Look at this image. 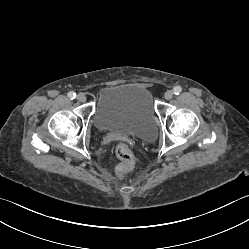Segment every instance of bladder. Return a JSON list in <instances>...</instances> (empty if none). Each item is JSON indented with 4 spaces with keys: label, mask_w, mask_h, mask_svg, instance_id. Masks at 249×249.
<instances>
[{
    "label": "bladder",
    "mask_w": 249,
    "mask_h": 249,
    "mask_svg": "<svg viewBox=\"0 0 249 249\" xmlns=\"http://www.w3.org/2000/svg\"><path fill=\"white\" fill-rule=\"evenodd\" d=\"M93 123L101 131L121 132L144 140L153 139L157 133V114L150 94L132 83L101 90Z\"/></svg>",
    "instance_id": "1"
}]
</instances>
